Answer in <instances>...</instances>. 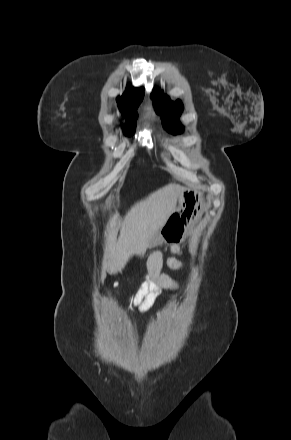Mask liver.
I'll return each instance as SVG.
<instances>
[{"mask_svg": "<svg viewBox=\"0 0 291 440\" xmlns=\"http://www.w3.org/2000/svg\"><path fill=\"white\" fill-rule=\"evenodd\" d=\"M182 190L180 186L167 185L134 204L123 219L118 213L110 218L105 232L102 281L106 270L113 274L121 272L130 257L142 254L149 247L151 239L175 210Z\"/></svg>", "mask_w": 291, "mask_h": 440, "instance_id": "obj_1", "label": "liver"}]
</instances>
